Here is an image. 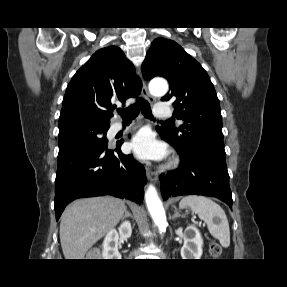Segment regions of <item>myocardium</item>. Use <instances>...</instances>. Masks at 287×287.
<instances>
[{"mask_svg":"<svg viewBox=\"0 0 287 287\" xmlns=\"http://www.w3.org/2000/svg\"><path fill=\"white\" fill-rule=\"evenodd\" d=\"M178 163H179V160H178L177 158H175V159L173 160V162H172V165H173V166H177Z\"/></svg>","mask_w":287,"mask_h":287,"instance_id":"f54148a6","label":"myocardium"}]
</instances>
